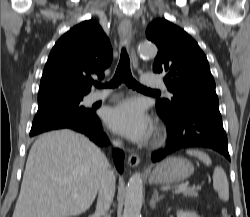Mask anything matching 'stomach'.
<instances>
[{"mask_svg":"<svg viewBox=\"0 0 250 217\" xmlns=\"http://www.w3.org/2000/svg\"><path fill=\"white\" fill-rule=\"evenodd\" d=\"M194 172L193 164L181 157H170L159 163L152 171L150 180L157 184L178 183Z\"/></svg>","mask_w":250,"mask_h":217,"instance_id":"obj_1","label":"stomach"}]
</instances>
